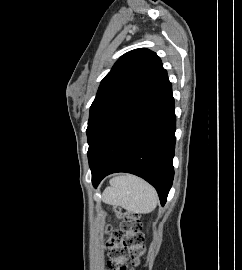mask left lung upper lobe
Returning a JSON list of instances; mask_svg holds the SVG:
<instances>
[{
	"label": "left lung upper lobe",
	"mask_w": 242,
	"mask_h": 270,
	"mask_svg": "<svg viewBox=\"0 0 242 270\" xmlns=\"http://www.w3.org/2000/svg\"><path fill=\"white\" fill-rule=\"evenodd\" d=\"M166 76L160 58L148 49H135L118 59L101 81L90 107L89 165L115 124L150 95Z\"/></svg>",
	"instance_id": "1"
}]
</instances>
